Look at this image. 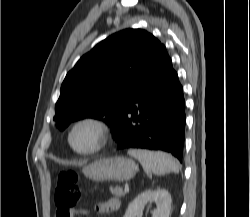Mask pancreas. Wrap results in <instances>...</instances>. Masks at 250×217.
<instances>
[{
	"instance_id": "1",
	"label": "pancreas",
	"mask_w": 250,
	"mask_h": 217,
	"mask_svg": "<svg viewBox=\"0 0 250 217\" xmlns=\"http://www.w3.org/2000/svg\"><path fill=\"white\" fill-rule=\"evenodd\" d=\"M110 192L112 195L116 197H123L126 194V191L123 190L122 188L116 186V187H110Z\"/></svg>"
}]
</instances>
